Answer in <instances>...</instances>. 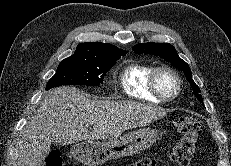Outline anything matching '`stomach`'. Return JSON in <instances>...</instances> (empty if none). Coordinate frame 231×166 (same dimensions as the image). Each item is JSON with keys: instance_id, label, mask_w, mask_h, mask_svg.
Segmentation results:
<instances>
[{"instance_id": "obj_1", "label": "stomach", "mask_w": 231, "mask_h": 166, "mask_svg": "<svg viewBox=\"0 0 231 166\" xmlns=\"http://www.w3.org/2000/svg\"><path fill=\"white\" fill-rule=\"evenodd\" d=\"M159 138L156 129L143 128L106 141L85 140L72 145L71 155L87 166H96L111 159L139 154Z\"/></svg>"}]
</instances>
